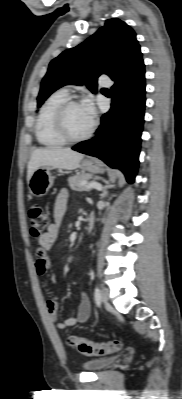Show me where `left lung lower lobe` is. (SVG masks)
<instances>
[{
	"label": "left lung lower lobe",
	"instance_id": "obj_1",
	"mask_svg": "<svg viewBox=\"0 0 182 399\" xmlns=\"http://www.w3.org/2000/svg\"><path fill=\"white\" fill-rule=\"evenodd\" d=\"M111 109L101 117L95 137L72 149L120 169L133 183L139 164L145 109V69L139 64L111 87Z\"/></svg>",
	"mask_w": 182,
	"mask_h": 399
}]
</instances>
